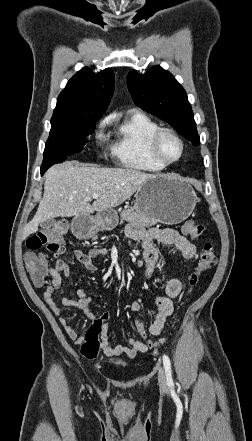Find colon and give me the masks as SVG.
Instances as JSON below:
<instances>
[{
	"label": "colon",
	"mask_w": 252,
	"mask_h": 441,
	"mask_svg": "<svg viewBox=\"0 0 252 441\" xmlns=\"http://www.w3.org/2000/svg\"><path fill=\"white\" fill-rule=\"evenodd\" d=\"M67 229V222L65 220H59L28 239L26 244V264L35 286L41 287L45 283L47 275L46 258L43 254L37 252L42 248L53 253L63 252L64 238ZM203 229L204 227L202 225L193 220H188L184 223L182 231L191 239H198ZM216 263L217 253L213 245L210 243L205 244L200 252L195 270L188 277L189 286L192 288L197 285L201 275L211 269ZM109 318V312H103L94 319L93 323L87 329L81 343V353L84 357L93 359L99 355L101 349L99 335ZM134 327L139 334H145V326L139 319L134 321Z\"/></svg>",
	"instance_id": "obj_1"
}]
</instances>
